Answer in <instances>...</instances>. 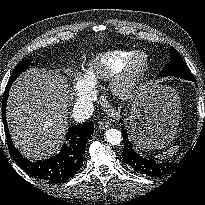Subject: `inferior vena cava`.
<instances>
[{
  "label": "inferior vena cava",
  "mask_w": 205,
  "mask_h": 205,
  "mask_svg": "<svg viewBox=\"0 0 205 205\" xmlns=\"http://www.w3.org/2000/svg\"><path fill=\"white\" fill-rule=\"evenodd\" d=\"M94 111V106L89 101L76 103L72 110V117L76 122H84L89 119Z\"/></svg>",
  "instance_id": "602c4592"
}]
</instances>
